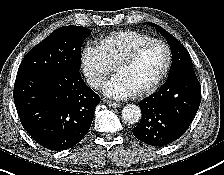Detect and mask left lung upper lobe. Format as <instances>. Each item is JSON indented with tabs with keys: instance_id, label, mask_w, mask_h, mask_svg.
<instances>
[{
	"instance_id": "1",
	"label": "left lung upper lobe",
	"mask_w": 224,
	"mask_h": 175,
	"mask_svg": "<svg viewBox=\"0 0 224 175\" xmlns=\"http://www.w3.org/2000/svg\"><path fill=\"white\" fill-rule=\"evenodd\" d=\"M149 24L160 31V33L166 38L169 46L171 47L172 65L169 75H172L173 73L182 69H193L192 61L186 48L176 38H174L170 33H168L160 26L154 23Z\"/></svg>"
}]
</instances>
